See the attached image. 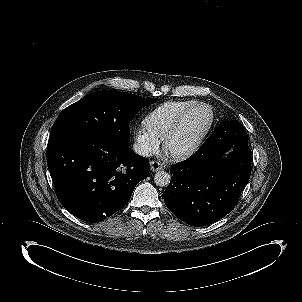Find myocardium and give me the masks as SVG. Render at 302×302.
<instances>
[{"mask_svg":"<svg viewBox=\"0 0 302 302\" xmlns=\"http://www.w3.org/2000/svg\"><path fill=\"white\" fill-rule=\"evenodd\" d=\"M199 109L205 110L207 112V121H206V124H205L204 128L202 129L201 133L199 134V136L187 148H184V149H181V150L172 149L171 145H170V141H171V138L174 135V133L177 131V129L180 127L181 123L183 122V120L187 116H189L194 111L199 110ZM212 121H213V114H212L211 108L208 105H206V104H196V105L192 106L191 108L186 110L184 113H182L177 118V120L174 122V124L172 125V127L170 128L168 133L166 134L165 139H164V150H165V152L173 158H181V157H184V156L192 153L199 146V144L202 142V140L206 136V134H207V132H208V130H209L211 124H212Z\"/></svg>","mask_w":302,"mask_h":302,"instance_id":"obj_1","label":"myocardium"}]
</instances>
